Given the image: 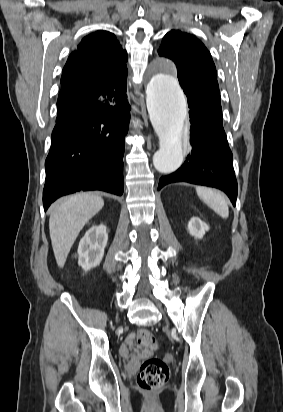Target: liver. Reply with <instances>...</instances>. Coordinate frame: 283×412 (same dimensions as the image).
I'll list each match as a JSON object with an SVG mask.
<instances>
[{"instance_id":"6515ba94","label":"liver","mask_w":283,"mask_h":412,"mask_svg":"<svg viewBox=\"0 0 283 412\" xmlns=\"http://www.w3.org/2000/svg\"><path fill=\"white\" fill-rule=\"evenodd\" d=\"M104 206L95 193H79L55 203L51 208L49 230L57 265L62 268L78 234Z\"/></svg>"}]
</instances>
